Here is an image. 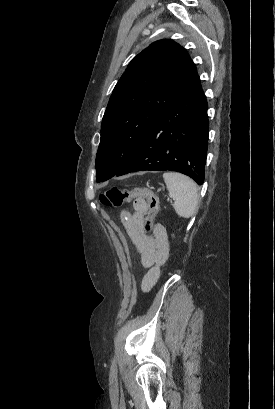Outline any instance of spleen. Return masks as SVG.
I'll list each match as a JSON object with an SVG mask.
<instances>
[{"instance_id":"1","label":"spleen","mask_w":275,"mask_h":409,"mask_svg":"<svg viewBox=\"0 0 275 409\" xmlns=\"http://www.w3.org/2000/svg\"><path fill=\"white\" fill-rule=\"evenodd\" d=\"M163 178L171 198H174V209L179 217L189 219L195 215L198 207V188L196 182L180 172H164Z\"/></svg>"}]
</instances>
